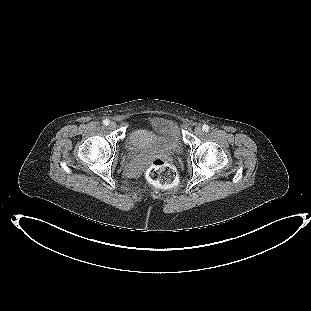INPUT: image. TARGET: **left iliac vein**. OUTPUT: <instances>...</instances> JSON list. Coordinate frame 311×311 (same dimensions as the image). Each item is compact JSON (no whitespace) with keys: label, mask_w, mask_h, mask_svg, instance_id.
I'll return each mask as SVG.
<instances>
[{"label":"left iliac vein","mask_w":311,"mask_h":311,"mask_svg":"<svg viewBox=\"0 0 311 311\" xmlns=\"http://www.w3.org/2000/svg\"><path fill=\"white\" fill-rule=\"evenodd\" d=\"M195 133L196 134H202L203 130H202V127L200 125L196 126L195 129H194Z\"/></svg>","instance_id":"4c4485c4"}]
</instances>
